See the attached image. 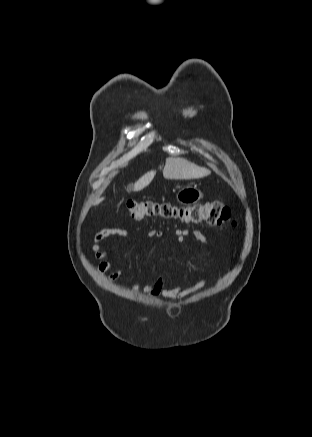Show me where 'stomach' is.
<instances>
[{
    "label": "stomach",
    "instance_id": "1",
    "mask_svg": "<svg viewBox=\"0 0 312 437\" xmlns=\"http://www.w3.org/2000/svg\"><path fill=\"white\" fill-rule=\"evenodd\" d=\"M203 197V193L196 186H184L176 194L180 204L191 205L197 203Z\"/></svg>",
    "mask_w": 312,
    "mask_h": 437
}]
</instances>
